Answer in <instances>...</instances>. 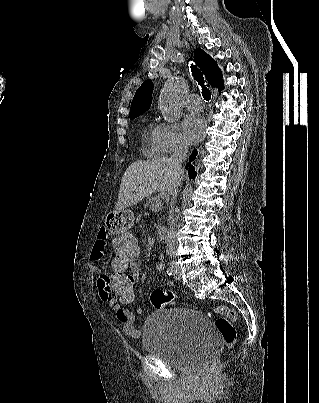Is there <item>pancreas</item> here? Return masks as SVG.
<instances>
[{"mask_svg":"<svg viewBox=\"0 0 319 403\" xmlns=\"http://www.w3.org/2000/svg\"><path fill=\"white\" fill-rule=\"evenodd\" d=\"M158 202H160L158 198L150 196L147 198V202H146L145 206L150 208L151 210L157 212L163 208V206L161 204V206L159 208L155 209V206Z\"/></svg>","mask_w":319,"mask_h":403,"instance_id":"cf45deb5","label":"pancreas"}]
</instances>
